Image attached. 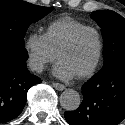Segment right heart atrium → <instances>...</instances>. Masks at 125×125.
Masks as SVG:
<instances>
[{"mask_svg":"<svg viewBox=\"0 0 125 125\" xmlns=\"http://www.w3.org/2000/svg\"><path fill=\"white\" fill-rule=\"evenodd\" d=\"M29 67L35 72H42L45 66L53 62L56 53L49 47L44 34L31 33L23 44Z\"/></svg>","mask_w":125,"mask_h":125,"instance_id":"obj_1","label":"right heart atrium"}]
</instances>
